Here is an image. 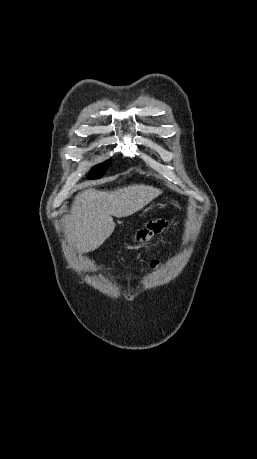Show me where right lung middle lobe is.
I'll use <instances>...</instances> for the list:
<instances>
[{
  "label": "right lung middle lobe",
  "instance_id": "dd1d6c3e",
  "mask_svg": "<svg viewBox=\"0 0 257 459\" xmlns=\"http://www.w3.org/2000/svg\"><path fill=\"white\" fill-rule=\"evenodd\" d=\"M111 161H107L103 164L97 165L91 169V172L89 176L87 177L88 179H99L102 177L104 174L105 170L110 166Z\"/></svg>",
  "mask_w": 257,
  "mask_h": 459
}]
</instances>
